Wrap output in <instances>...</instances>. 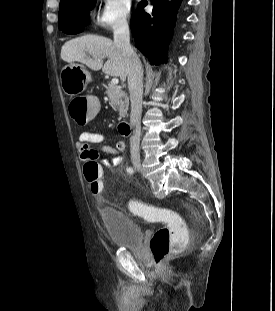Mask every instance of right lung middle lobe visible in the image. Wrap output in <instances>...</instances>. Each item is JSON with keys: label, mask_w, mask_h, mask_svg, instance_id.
Segmentation results:
<instances>
[{"label": "right lung middle lobe", "mask_w": 275, "mask_h": 311, "mask_svg": "<svg viewBox=\"0 0 275 311\" xmlns=\"http://www.w3.org/2000/svg\"><path fill=\"white\" fill-rule=\"evenodd\" d=\"M96 0H67L60 4L59 29L72 34L77 28L88 23L89 12Z\"/></svg>", "instance_id": "dd1d6c3e"}]
</instances>
